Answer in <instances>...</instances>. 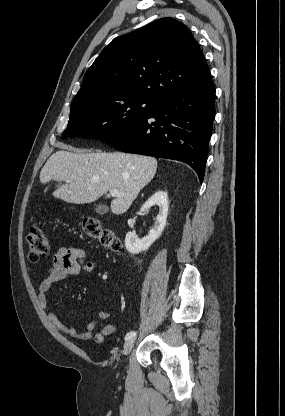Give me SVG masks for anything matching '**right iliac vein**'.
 Segmentation results:
<instances>
[{"instance_id":"obj_1","label":"right iliac vein","mask_w":285,"mask_h":416,"mask_svg":"<svg viewBox=\"0 0 285 416\" xmlns=\"http://www.w3.org/2000/svg\"><path fill=\"white\" fill-rule=\"evenodd\" d=\"M133 346H134V340L126 341L123 347L124 355H128L130 351L133 349Z\"/></svg>"}]
</instances>
